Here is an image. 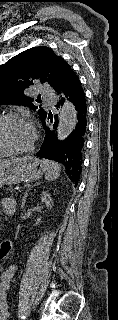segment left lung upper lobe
Listing matches in <instances>:
<instances>
[{"label":"left lung upper lobe","instance_id":"5c2ea615","mask_svg":"<svg viewBox=\"0 0 118 320\" xmlns=\"http://www.w3.org/2000/svg\"><path fill=\"white\" fill-rule=\"evenodd\" d=\"M73 70L51 48L40 46L28 49L0 66V104L28 106L42 119L47 112L33 104L26 95L34 81L52 87L58 92ZM40 101V96L36 100Z\"/></svg>","mask_w":118,"mask_h":320}]
</instances>
